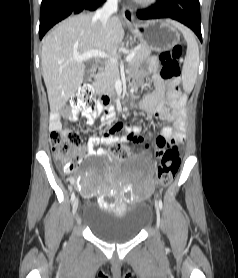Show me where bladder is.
Segmentation results:
<instances>
[{"label": "bladder", "mask_w": 238, "mask_h": 278, "mask_svg": "<svg viewBox=\"0 0 238 278\" xmlns=\"http://www.w3.org/2000/svg\"><path fill=\"white\" fill-rule=\"evenodd\" d=\"M151 218V207L139 202L128 206L123 214H115L98 204H84L81 214L83 226L107 243H123L136 238Z\"/></svg>", "instance_id": "obj_1"}]
</instances>
